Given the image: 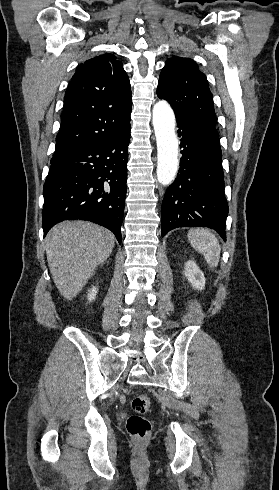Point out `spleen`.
<instances>
[{
	"label": "spleen",
	"instance_id": "obj_1",
	"mask_svg": "<svg viewBox=\"0 0 279 490\" xmlns=\"http://www.w3.org/2000/svg\"><path fill=\"white\" fill-rule=\"evenodd\" d=\"M188 238L192 248L198 250V252L204 256L210 268H217L220 260L221 248L214 234H211L209 230L196 228V230H190Z\"/></svg>",
	"mask_w": 279,
	"mask_h": 490
}]
</instances>
